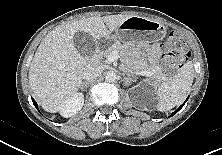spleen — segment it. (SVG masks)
I'll list each match as a JSON object with an SVG mask.
<instances>
[{
	"mask_svg": "<svg viewBox=\"0 0 222 155\" xmlns=\"http://www.w3.org/2000/svg\"><path fill=\"white\" fill-rule=\"evenodd\" d=\"M194 69L191 61L186 62L178 74L165 79L157 89L159 111H168L181 104L192 85Z\"/></svg>",
	"mask_w": 222,
	"mask_h": 155,
	"instance_id": "obj_1",
	"label": "spleen"
}]
</instances>
